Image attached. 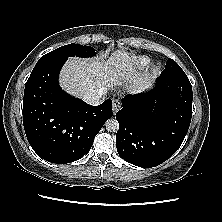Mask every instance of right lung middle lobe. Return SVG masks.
Returning <instances> with one entry per match:
<instances>
[{"mask_svg":"<svg viewBox=\"0 0 222 222\" xmlns=\"http://www.w3.org/2000/svg\"><path fill=\"white\" fill-rule=\"evenodd\" d=\"M96 55L95 49L90 46H83L79 44H68L57 48L56 50L49 52L42 56L37 64L51 61V60H67L68 57H93ZM36 64V65H37Z\"/></svg>","mask_w":222,"mask_h":222,"instance_id":"right-lung-middle-lobe-1","label":"right lung middle lobe"}]
</instances>
